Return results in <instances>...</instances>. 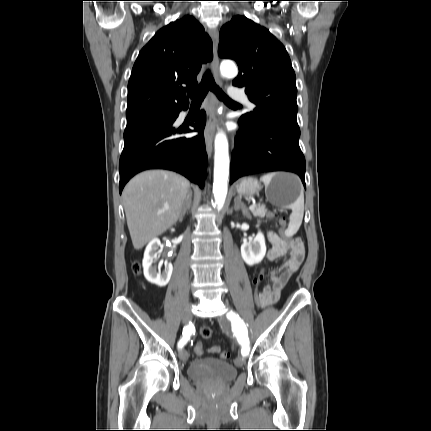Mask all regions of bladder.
<instances>
[{
	"instance_id": "31cf9c89",
	"label": "bladder",
	"mask_w": 431,
	"mask_h": 431,
	"mask_svg": "<svg viewBox=\"0 0 431 431\" xmlns=\"http://www.w3.org/2000/svg\"><path fill=\"white\" fill-rule=\"evenodd\" d=\"M190 379L211 385H224L234 381L238 375L232 364L215 358L194 360L187 369Z\"/></svg>"
}]
</instances>
